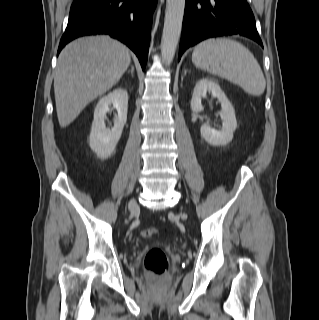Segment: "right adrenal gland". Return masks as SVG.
<instances>
[{
  "mask_svg": "<svg viewBox=\"0 0 319 320\" xmlns=\"http://www.w3.org/2000/svg\"><path fill=\"white\" fill-rule=\"evenodd\" d=\"M130 72H131V75L133 76V75H134V66H133V65H131V70H130Z\"/></svg>",
  "mask_w": 319,
  "mask_h": 320,
  "instance_id": "obj_1",
  "label": "right adrenal gland"
}]
</instances>
